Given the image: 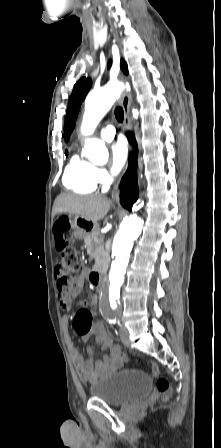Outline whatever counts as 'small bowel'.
Returning <instances> with one entry per match:
<instances>
[{
  "mask_svg": "<svg viewBox=\"0 0 221 448\" xmlns=\"http://www.w3.org/2000/svg\"><path fill=\"white\" fill-rule=\"evenodd\" d=\"M55 240L57 246L60 247L62 243L57 239L56 234ZM84 281L85 273H82L79 277L72 280L71 285L67 290H59L60 305L65 313L71 311L72 298L81 293ZM81 303L84 308L80 310L73 319V327L75 331L84 341L93 335L96 342L99 343L104 350L108 351V354L100 360L96 359L90 351L91 357L89 359H84L69 334V316L65 315L63 317L62 325L64 328V338L70 353L71 361L79 378L83 382L92 383L103 375L119 370L124 363V355L122 354L120 348L113 343V340L107 334L103 324L99 321L94 323L92 322L93 315L95 313L94 309L96 306L95 298L90 295ZM88 322H90V325L87 328Z\"/></svg>",
  "mask_w": 221,
  "mask_h": 448,
  "instance_id": "small-bowel-1",
  "label": "small bowel"
}]
</instances>
